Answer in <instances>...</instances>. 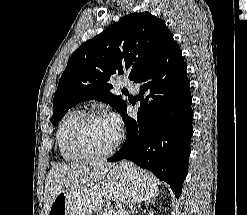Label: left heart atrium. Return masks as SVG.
<instances>
[{
  "mask_svg": "<svg viewBox=\"0 0 247 215\" xmlns=\"http://www.w3.org/2000/svg\"><path fill=\"white\" fill-rule=\"evenodd\" d=\"M106 121L113 128V130L118 134L121 130V120L115 114H110L106 118Z\"/></svg>",
  "mask_w": 247,
  "mask_h": 215,
  "instance_id": "39dd6f15",
  "label": "left heart atrium"
}]
</instances>
